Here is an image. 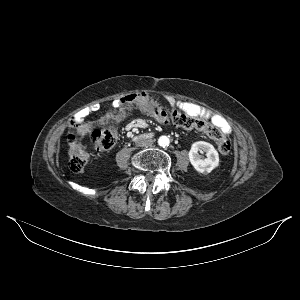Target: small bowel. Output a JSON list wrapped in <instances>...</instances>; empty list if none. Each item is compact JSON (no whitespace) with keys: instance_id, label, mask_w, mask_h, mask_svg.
<instances>
[{"instance_id":"1","label":"small bowel","mask_w":300,"mask_h":300,"mask_svg":"<svg viewBox=\"0 0 300 300\" xmlns=\"http://www.w3.org/2000/svg\"><path fill=\"white\" fill-rule=\"evenodd\" d=\"M169 103H170L171 107L181 109L188 114L206 116L208 119H210V121L213 124L217 125L222 130V132L225 134H228L231 132V127H230L229 123L223 117H221L220 115H218L208 109L202 108L198 104H195V103H192L189 101H179V100H175V99H169ZM91 111H92V108L83 109L77 115L76 121L83 120L85 117H87L90 114ZM100 121L101 120L96 121L95 123L98 124V123H100ZM128 127L129 128H146L147 122L144 119L136 118L128 124Z\"/></svg>"}]
</instances>
